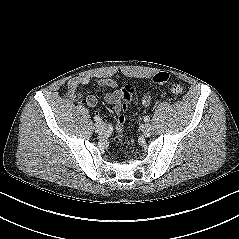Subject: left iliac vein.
<instances>
[{
	"instance_id": "obj_1",
	"label": "left iliac vein",
	"mask_w": 239,
	"mask_h": 239,
	"mask_svg": "<svg viewBox=\"0 0 239 239\" xmlns=\"http://www.w3.org/2000/svg\"><path fill=\"white\" fill-rule=\"evenodd\" d=\"M153 133H154V128L150 124H146L143 129V134L146 137H150L153 135Z\"/></svg>"
}]
</instances>
